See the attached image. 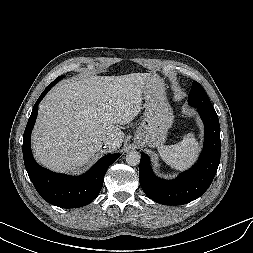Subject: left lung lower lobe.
<instances>
[{
    "label": "left lung lower lobe",
    "mask_w": 253,
    "mask_h": 253,
    "mask_svg": "<svg viewBox=\"0 0 253 253\" xmlns=\"http://www.w3.org/2000/svg\"><path fill=\"white\" fill-rule=\"evenodd\" d=\"M205 125L204 150L191 169L174 180L156 177L149 158L141 153L140 185L146 195L164 205H182L199 198L211 185L220 163V125L215 109L197 107Z\"/></svg>",
    "instance_id": "left-lung-lower-lobe-1"
}]
</instances>
